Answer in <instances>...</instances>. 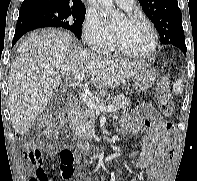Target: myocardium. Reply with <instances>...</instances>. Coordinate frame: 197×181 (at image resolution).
Here are the masks:
<instances>
[{
	"label": "myocardium",
	"mask_w": 197,
	"mask_h": 181,
	"mask_svg": "<svg viewBox=\"0 0 197 181\" xmlns=\"http://www.w3.org/2000/svg\"><path fill=\"white\" fill-rule=\"evenodd\" d=\"M127 21L131 22V23H142V24L146 25L152 33V37H153L152 45H151L150 49L145 53H134V52L127 50L120 43L117 36L114 34V48H115L116 52L122 56H125L127 58H131V59L141 60V59H147V58L151 57L156 52L158 45H159V34H158L156 27L154 26V24L150 20H148L145 17L138 16V15L129 16L127 18Z\"/></svg>",
	"instance_id": "myocardium-1"
}]
</instances>
